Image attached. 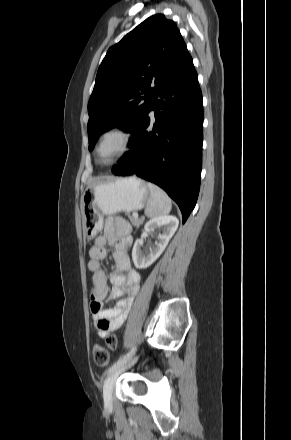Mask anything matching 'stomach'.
Here are the masks:
<instances>
[{"instance_id": "1", "label": "stomach", "mask_w": 291, "mask_h": 440, "mask_svg": "<svg viewBox=\"0 0 291 440\" xmlns=\"http://www.w3.org/2000/svg\"><path fill=\"white\" fill-rule=\"evenodd\" d=\"M150 197L147 184L135 176L114 178L89 186L82 196L85 235L92 238L99 232L104 215L140 210Z\"/></svg>"}]
</instances>
